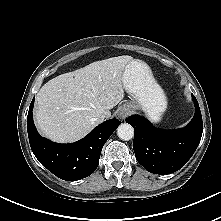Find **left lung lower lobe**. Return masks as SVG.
Returning <instances> with one entry per match:
<instances>
[{
	"mask_svg": "<svg viewBox=\"0 0 221 221\" xmlns=\"http://www.w3.org/2000/svg\"><path fill=\"white\" fill-rule=\"evenodd\" d=\"M195 115L184 128L162 130L147 119L133 115L126 122L135 131L133 149L137 161L149 172L170 174L182 168L197 149L203 131L198 102L194 95Z\"/></svg>",
	"mask_w": 221,
	"mask_h": 221,
	"instance_id": "obj_1",
	"label": "left lung lower lobe"
}]
</instances>
